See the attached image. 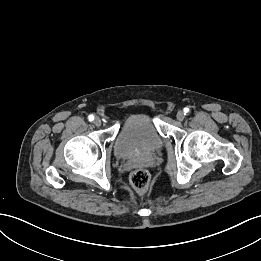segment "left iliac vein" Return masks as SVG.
Returning a JSON list of instances; mask_svg holds the SVG:
<instances>
[{"label": "left iliac vein", "mask_w": 261, "mask_h": 261, "mask_svg": "<svg viewBox=\"0 0 261 261\" xmlns=\"http://www.w3.org/2000/svg\"><path fill=\"white\" fill-rule=\"evenodd\" d=\"M176 117H177V120L183 121L185 118V113L183 111H178Z\"/></svg>", "instance_id": "left-iliac-vein-1"}]
</instances>
